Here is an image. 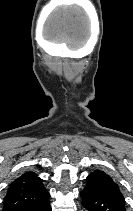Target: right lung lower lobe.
I'll use <instances>...</instances> for the list:
<instances>
[{
  "instance_id": "98d812e1",
  "label": "right lung lower lobe",
  "mask_w": 133,
  "mask_h": 211,
  "mask_svg": "<svg viewBox=\"0 0 133 211\" xmlns=\"http://www.w3.org/2000/svg\"><path fill=\"white\" fill-rule=\"evenodd\" d=\"M47 196L42 202L32 205L23 211H52Z\"/></svg>"
}]
</instances>
